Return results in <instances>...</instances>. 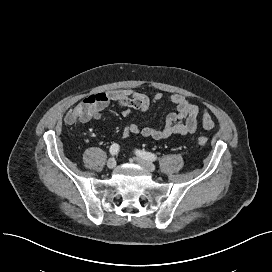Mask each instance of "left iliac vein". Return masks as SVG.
Returning <instances> with one entry per match:
<instances>
[{
    "label": "left iliac vein",
    "instance_id": "obj_1",
    "mask_svg": "<svg viewBox=\"0 0 272 272\" xmlns=\"http://www.w3.org/2000/svg\"><path fill=\"white\" fill-rule=\"evenodd\" d=\"M135 161L137 163H139L140 165H142L144 168H146L150 172H154L156 170V166L148 160H145L141 157H136Z\"/></svg>",
    "mask_w": 272,
    "mask_h": 272
}]
</instances>
